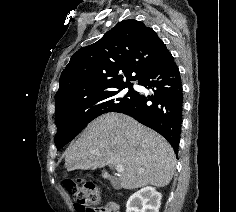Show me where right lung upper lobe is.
Here are the masks:
<instances>
[{
	"instance_id": "1",
	"label": "right lung upper lobe",
	"mask_w": 236,
	"mask_h": 212,
	"mask_svg": "<svg viewBox=\"0 0 236 212\" xmlns=\"http://www.w3.org/2000/svg\"><path fill=\"white\" fill-rule=\"evenodd\" d=\"M165 49L144 23L134 19L118 23L100 40L73 54L60 76L56 111L79 99L132 85L129 81H139Z\"/></svg>"
}]
</instances>
